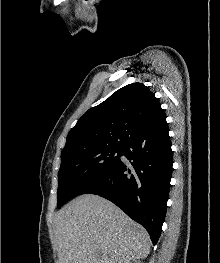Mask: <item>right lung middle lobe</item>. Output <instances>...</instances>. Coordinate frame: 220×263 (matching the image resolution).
Instances as JSON below:
<instances>
[{
	"instance_id": "obj_1",
	"label": "right lung middle lobe",
	"mask_w": 220,
	"mask_h": 263,
	"mask_svg": "<svg viewBox=\"0 0 220 263\" xmlns=\"http://www.w3.org/2000/svg\"><path fill=\"white\" fill-rule=\"evenodd\" d=\"M122 153V148L105 147L71 151L61 155V166L58 172V208L101 178L120 161Z\"/></svg>"
}]
</instances>
